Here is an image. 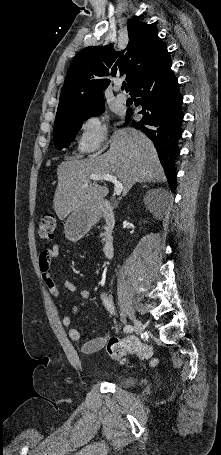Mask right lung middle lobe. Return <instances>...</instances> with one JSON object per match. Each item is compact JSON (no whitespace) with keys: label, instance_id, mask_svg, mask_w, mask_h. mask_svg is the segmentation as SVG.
Segmentation results:
<instances>
[{"label":"right lung middle lobe","instance_id":"dd1d6c3e","mask_svg":"<svg viewBox=\"0 0 221 455\" xmlns=\"http://www.w3.org/2000/svg\"><path fill=\"white\" fill-rule=\"evenodd\" d=\"M104 111V103L96 105L86 111L65 116L55 121L53 138L58 150L68 147L74 140L76 133L79 131L84 120L97 116Z\"/></svg>","mask_w":221,"mask_h":455}]
</instances>
